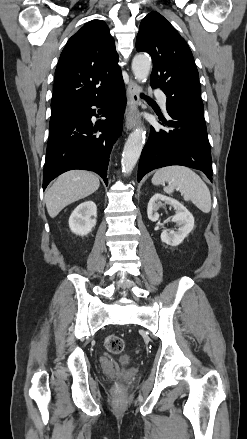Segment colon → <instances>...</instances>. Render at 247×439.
<instances>
[{"instance_id":"1","label":"colon","mask_w":247,"mask_h":439,"mask_svg":"<svg viewBox=\"0 0 247 439\" xmlns=\"http://www.w3.org/2000/svg\"><path fill=\"white\" fill-rule=\"evenodd\" d=\"M104 344H105L106 349L109 352L113 353V354H119L124 349V342H123V340L119 336L114 335V334L108 335L105 338ZM114 391L115 392H119L120 391V386L119 385H115L114 386Z\"/></svg>"}]
</instances>
